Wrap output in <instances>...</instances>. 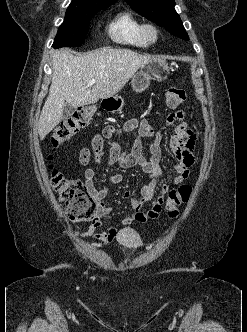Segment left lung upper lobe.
<instances>
[{"label": "left lung upper lobe", "instance_id": "obj_1", "mask_svg": "<svg viewBox=\"0 0 247 332\" xmlns=\"http://www.w3.org/2000/svg\"><path fill=\"white\" fill-rule=\"evenodd\" d=\"M140 15L164 27L169 33L183 40L189 36L174 9V0H125Z\"/></svg>", "mask_w": 247, "mask_h": 332}]
</instances>
